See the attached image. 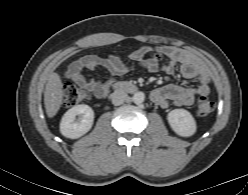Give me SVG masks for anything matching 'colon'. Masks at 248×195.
<instances>
[{"label": "colon", "mask_w": 248, "mask_h": 195, "mask_svg": "<svg viewBox=\"0 0 248 195\" xmlns=\"http://www.w3.org/2000/svg\"><path fill=\"white\" fill-rule=\"evenodd\" d=\"M159 58V55H156ZM63 97L65 105L73 107L88 98L87 92L76 84L67 82L63 86ZM214 103L205 96H200L196 101L195 113L198 117H207L212 113Z\"/></svg>", "instance_id": "obj_1"}]
</instances>
